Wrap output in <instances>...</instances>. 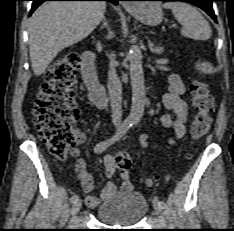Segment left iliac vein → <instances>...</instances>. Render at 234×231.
Listing matches in <instances>:
<instances>
[{"instance_id":"left-iliac-vein-1","label":"left iliac vein","mask_w":234,"mask_h":231,"mask_svg":"<svg viewBox=\"0 0 234 231\" xmlns=\"http://www.w3.org/2000/svg\"><path fill=\"white\" fill-rule=\"evenodd\" d=\"M153 206H154V209H155L156 213L160 214L161 211H162V208H161V206L159 204V200H158L157 197H154V199H153Z\"/></svg>"}]
</instances>
